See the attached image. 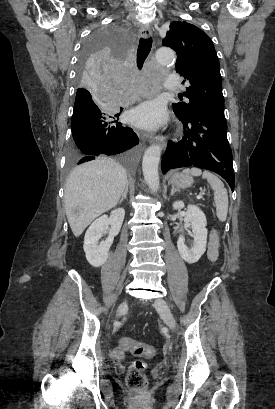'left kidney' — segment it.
<instances>
[{
    "label": "left kidney",
    "instance_id": "5707ae66",
    "mask_svg": "<svg viewBox=\"0 0 275 409\" xmlns=\"http://www.w3.org/2000/svg\"><path fill=\"white\" fill-rule=\"evenodd\" d=\"M173 209L177 211V209H184V202L182 200H176L173 205ZM184 223H189L191 225L192 233L191 237H194V245H192L191 249L186 247L184 237H179L177 241L178 251L186 261V263H197L200 257L204 255L206 251V243H207V229H205L207 225L206 217L199 209V207H195V205H189L186 211V217L184 219Z\"/></svg>",
    "mask_w": 275,
    "mask_h": 409
}]
</instances>
